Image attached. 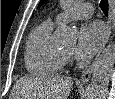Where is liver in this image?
Masks as SVG:
<instances>
[{"label": "liver", "instance_id": "1", "mask_svg": "<svg viewBox=\"0 0 115 99\" xmlns=\"http://www.w3.org/2000/svg\"><path fill=\"white\" fill-rule=\"evenodd\" d=\"M72 86L71 78L58 75L23 77L13 91L17 99H67Z\"/></svg>", "mask_w": 115, "mask_h": 99}]
</instances>
